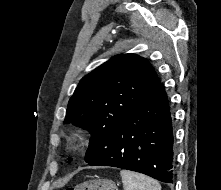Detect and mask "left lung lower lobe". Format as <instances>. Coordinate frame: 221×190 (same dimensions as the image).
<instances>
[{
    "label": "left lung lower lobe",
    "instance_id": "1",
    "mask_svg": "<svg viewBox=\"0 0 221 190\" xmlns=\"http://www.w3.org/2000/svg\"><path fill=\"white\" fill-rule=\"evenodd\" d=\"M174 135L164 84L125 117L110 135L107 147L89 165L113 166L173 183Z\"/></svg>",
    "mask_w": 221,
    "mask_h": 190
}]
</instances>
